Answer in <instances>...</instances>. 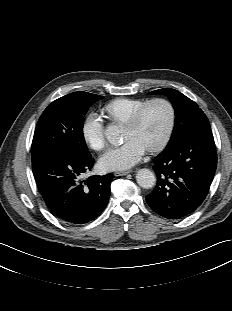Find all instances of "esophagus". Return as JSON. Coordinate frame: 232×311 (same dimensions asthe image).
<instances>
[{
    "label": "esophagus",
    "instance_id": "34e87169",
    "mask_svg": "<svg viewBox=\"0 0 232 311\" xmlns=\"http://www.w3.org/2000/svg\"><path fill=\"white\" fill-rule=\"evenodd\" d=\"M132 171L131 170H128V171H117L114 173L115 176H124V175H127L129 173H131Z\"/></svg>",
    "mask_w": 232,
    "mask_h": 311
}]
</instances>
